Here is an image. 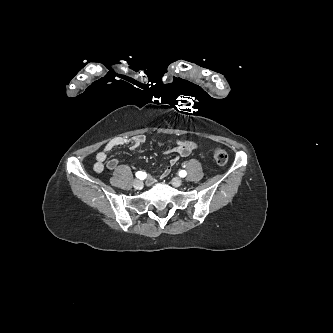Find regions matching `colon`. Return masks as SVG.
I'll use <instances>...</instances> for the list:
<instances>
[{"label": "colon", "instance_id": "colon-1", "mask_svg": "<svg viewBox=\"0 0 333 333\" xmlns=\"http://www.w3.org/2000/svg\"><path fill=\"white\" fill-rule=\"evenodd\" d=\"M213 158L218 165H225L228 161V154L221 148H216L213 151Z\"/></svg>", "mask_w": 333, "mask_h": 333}]
</instances>
